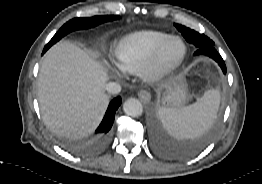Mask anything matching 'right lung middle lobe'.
I'll return each instance as SVG.
<instances>
[{
    "mask_svg": "<svg viewBox=\"0 0 262 184\" xmlns=\"http://www.w3.org/2000/svg\"><path fill=\"white\" fill-rule=\"evenodd\" d=\"M118 15H100L88 18H75L65 23L59 31L53 36L50 42L44 47L43 52H46L53 44L59 41L63 36L74 30L91 28L98 24L118 19Z\"/></svg>",
    "mask_w": 262,
    "mask_h": 184,
    "instance_id": "obj_1",
    "label": "right lung middle lobe"
}]
</instances>
